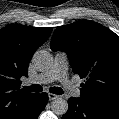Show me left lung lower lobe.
I'll return each instance as SVG.
<instances>
[{"label": "left lung lower lobe", "instance_id": "0a47b994", "mask_svg": "<svg viewBox=\"0 0 119 119\" xmlns=\"http://www.w3.org/2000/svg\"><path fill=\"white\" fill-rule=\"evenodd\" d=\"M68 111L62 119H119V111L105 108L81 97L68 99Z\"/></svg>", "mask_w": 119, "mask_h": 119}]
</instances>
